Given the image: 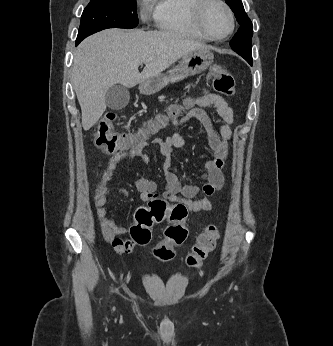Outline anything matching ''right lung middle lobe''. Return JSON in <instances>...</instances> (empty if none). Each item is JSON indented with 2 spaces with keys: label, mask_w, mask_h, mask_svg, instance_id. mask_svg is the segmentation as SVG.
I'll return each instance as SVG.
<instances>
[{
  "label": "right lung middle lobe",
  "mask_w": 333,
  "mask_h": 346,
  "mask_svg": "<svg viewBox=\"0 0 333 346\" xmlns=\"http://www.w3.org/2000/svg\"><path fill=\"white\" fill-rule=\"evenodd\" d=\"M137 25L136 0H91L81 16L76 44L106 28L131 29Z\"/></svg>",
  "instance_id": "right-lung-middle-lobe-1"
}]
</instances>
